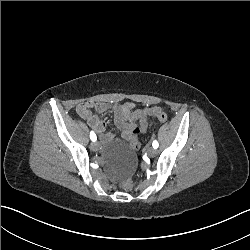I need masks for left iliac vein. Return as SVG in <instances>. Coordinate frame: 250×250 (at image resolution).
<instances>
[{
    "mask_svg": "<svg viewBox=\"0 0 250 250\" xmlns=\"http://www.w3.org/2000/svg\"><path fill=\"white\" fill-rule=\"evenodd\" d=\"M146 152H147L148 156H150V157H154L157 154V150L153 147H148L146 149Z\"/></svg>",
    "mask_w": 250,
    "mask_h": 250,
    "instance_id": "obj_1",
    "label": "left iliac vein"
}]
</instances>
